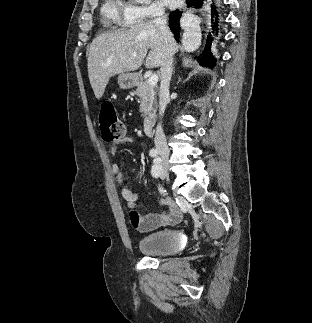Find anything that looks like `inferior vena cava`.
Here are the masks:
<instances>
[{
	"mask_svg": "<svg viewBox=\"0 0 312 323\" xmlns=\"http://www.w3.org/2000/svg\"><path fill=\"white\" fill-rule=\"evenodd\" d=\"M153 18H155L153 22L154 24H156L157 28H159L160 34L161 36H163L164 40V50L162 54V62L160 64L161 84L159 92V114L160 116H163L167 104V98L169 96V86L172 74L175 40L173 38L172 32H170L167 26V20L164 10H159V12H156ZM154 144L156 148H159V150H163V152L167 154L168 146L166 142V136L162 128V124H158L155 130Z\"/></svg>",
	"mask_w": 312,
	"mask_h": 323,
	"instance_id": "602c4592",
	"label": "inferior vena cava"
}]
</instances>
